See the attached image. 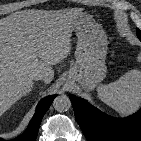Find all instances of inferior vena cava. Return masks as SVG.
<instances>
[{
    "label": "inferior vena cava",
    "instance_id": "1",
    "mask_svg": "<svg viewBox=\"0 0 141 141\" xmlns=\"http://www.w3.org/2000/svg\"><path fill=\"white\" fill-rule=\"evenodd\" d=\"M34 80H43L44 82H49L50 78L44 72H36L33 75Z\"/></svg>",
    "mask_w": 141,
    "mask_h": 141
}]
</instances>
